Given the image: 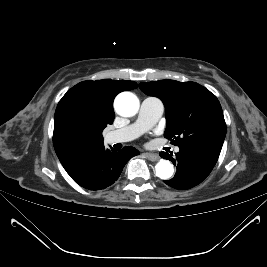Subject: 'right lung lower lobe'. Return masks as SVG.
Instances as JSON below:
<instances>
[{
	"instance_id": "98d812e1",
	"label": "right lung lower lobe",
	"mask_w": 267,
	"mask_h": 267,
	"mask_svg": "<svg viewBox=\"0 0 267 267\" xmlns=\"http://www.w3.org/2000/svg\"><path fill=\"white\" fill-rule=\"evenodd\" d=\"M138 154L139 151L133 147L115 151L98 144L82 150L62 165L80 186L88 190H100L112 185L127 161Z\"/></svg>"
}]
</instances>
